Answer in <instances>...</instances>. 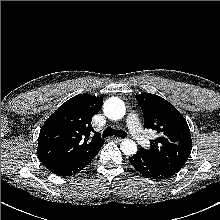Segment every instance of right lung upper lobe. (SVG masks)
<instances>
[{
	"label": "right lung upper lobe",
	"instance_id": "obj_1",
	"mask_svg": "<svg viewBox=\"0 0 220 220\" xmlns=\"http://www.w3.org/2000/svg\"><path fill=\"white\" fill-rule=\"evenodd\" d=\"M102 107L99 97L80 94L63 103L44 123L38 138V157L50 171L90 154L104 140L91 120Z\"/></svg>",
	"mask_w": 220,
	"mask_h": 220
}]
</instances>
